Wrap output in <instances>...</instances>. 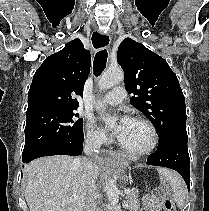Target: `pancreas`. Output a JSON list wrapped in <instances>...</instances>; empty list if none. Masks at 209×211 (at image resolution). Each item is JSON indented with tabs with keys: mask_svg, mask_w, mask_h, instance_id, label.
I'll use <instances>...</instances> for the list:
<instances>
[{
	"mask_svg": "<svg viewBox=\"0 0 209 211\" xmlns=\"http://www.w3.org/2000/svg\"><path fill=\"white\" fill-rule=\"evenodd\" d=\"M138 190L133 188L130 190V192L126 196V201L128 204L129 211H139L140 209V201H139V195Z\"/></svg>",
	"mask_w": 209,
	"mask_h": 211,
	"instance_id": "obj_1",
	"label": "pancreas"
}]
</instances>
